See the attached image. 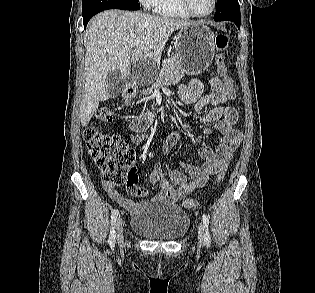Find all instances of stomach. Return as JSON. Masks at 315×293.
Returning a JSON list of instances; mask_svg holds the SVG:
<instances>
[{
  "instance_id": "0dacf381",
  "label": "stomach",
  "mask_w": 315,
  "mask_h": 293,
  "mask_svg": "<svg viewBox=\"0 0 315 293\" xmlns=\"http://www.w3.org/2000/svg\"><path fill=\"white\" fill-rule=\"evenodd\" d=\"M214 34L203 23L195 22L182 29L175 39V54L181 59L183 71L197 75L205 71L214 58ZM137 96H123V103H137Z\"/></svg>"
}]
</instances>
